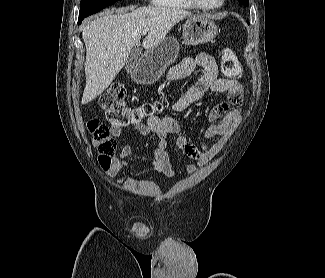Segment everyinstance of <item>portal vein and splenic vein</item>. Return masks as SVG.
Wrapping results in <instances>:
<instances>
[{
  "mask_svg": "<svg viewBox=\"0 0 325 278\" xmlns=\"http://www.w3.org/2000/svg\"><path fill=\"white\" fill-rule=\"evenodd\" d=\"M148 31H149V29L146 28V29H144V30L142 31V33L145 35V34H147Z\"/></svg>",
  "mask_w": 325,
  "mask_h": 278,
  "instance_id": "18ae733b",
  "label": "portal vein and splenic vein"
}]
</instances>
